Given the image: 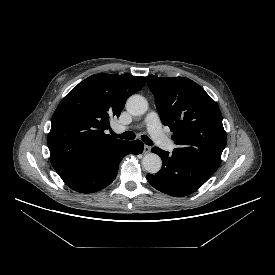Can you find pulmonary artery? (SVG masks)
I'll return each mask as SVG.
<instances>
[{
    "instance_id": "1",
    "label": "pulmonary artery",
    "mask_w": 275,
    "mask_h": 275,
    "mask_svg": "<svg viewBox=\"0 0 275 275\" xmlns=\"http://www.w3.org/2000/svg\"><path fill=\"white\" fill-rule=\"evenodd\" d=\"M144 124L146 125L150 135L152 136L153 140L162 148L165 150H172L173 149V143L170 141V139L163 133L161 128V123L159 116L156 112L152 111L150 112L145 120ZM126 128L124 126H117L116 131L122 132Z\"/></svg>"
}]
</instances>
